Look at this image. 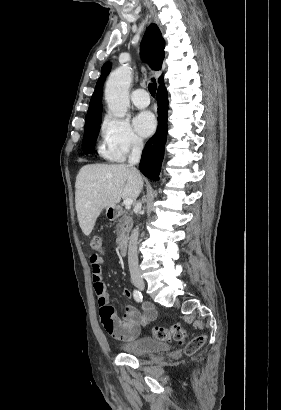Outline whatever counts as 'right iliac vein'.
Returning <instances> with one entry per match:
<instances>
[{"label": "right iliac vein", "instance_id": "obj_1", "mask_svg": "<svg viewBox=\"0 0 281 410\" xmlns=\"http://www.w3.org/2000/svg\"><path fill=\"white\" fill-rule=\"evenodd\" d=\"M134 285H135L138 289H140V290H144V289H145V284H144V282H142V281H137V282L134 283Z\"/></svg>", "mask_w": 281, "mask_h": 410}]
</instances>
